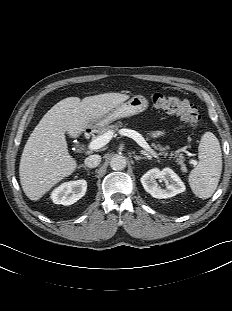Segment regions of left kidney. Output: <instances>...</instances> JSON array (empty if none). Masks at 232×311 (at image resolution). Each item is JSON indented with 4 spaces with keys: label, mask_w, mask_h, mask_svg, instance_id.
<instances>
[{
    "label": "left kidney",
    "mask_w": 232,
    "mask_h": 311,
    "mask_svg": "<svg viewBox=\"0 0 232 311\" xmlns=\"http://www.w3.org/2000/svg\"><path fill=\"white\" fill-rule=\"evenodd\" d=\"M156 179H166L168 184L165 189L158 187ZM146 192L157 199L170 198L185 191V185L180 177L170 168L159 170L153 168L147 171L140 179Z\"/></svg>",
    "instance_id": "5707ae66"
}]
</instances>
